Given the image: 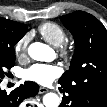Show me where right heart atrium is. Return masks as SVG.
<instances>
[{"instance_id":"d8ad5b80","label":"right heart atrium","mask_w":107,"mask_h":107,"mask_svg":"<svg viewBox=\"0 0 107 107\" xmlns=\"http://www.w3.org/2000/svg\"><path fill=\"white\" fill-rule=\"evenodd\" d=\"M31 39V34L26 33L15 44L14 51L18 58H25L27 55L28 45Z\"/></svg>"}]
</instances>
